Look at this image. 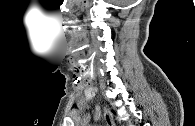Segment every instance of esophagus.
I'll return each instance as SVG.
<instances>
[{
	"label": "esophagus",
	"instance_id": "34e87169",
	"mask_svg": "<svg viewBox=\"0 0 195 126\" xmlns=\"http://www.w3.org/2000/svg\"><path fill=\"white\" fill-rule=\"evenodd\" d=\"M104 119H105L107 126H114L113 116L108 109L104 110Z\"/></svg>",
	"mask_w": 195,
	"mask_h": 126
}]
</instances>
